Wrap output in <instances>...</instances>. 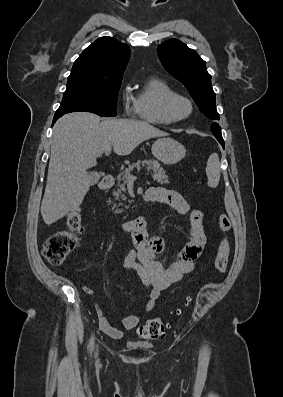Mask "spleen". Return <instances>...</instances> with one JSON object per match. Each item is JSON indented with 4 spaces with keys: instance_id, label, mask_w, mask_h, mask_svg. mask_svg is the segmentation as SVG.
I'll return each instance as SVG.
<instances>
[{
    "instance_id": "1",
    "label": "spleen",
    "mask_w": 283,
    "mask_h": 397,
    "mask_svg": "<svg viewBox=\"0 0 283 397\" xmlns=\"http://www.w3.org/2000/svg\"><path fill=\"white\" fill-rule=\"evenodd\" d=\"M206 175L208 178V186L215 188L220 181V162L217 153L209 156L206 166Z\"/></svg>"
}]
</instances>
